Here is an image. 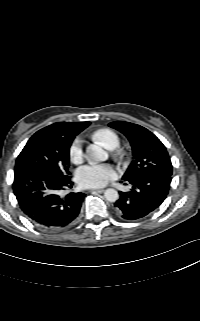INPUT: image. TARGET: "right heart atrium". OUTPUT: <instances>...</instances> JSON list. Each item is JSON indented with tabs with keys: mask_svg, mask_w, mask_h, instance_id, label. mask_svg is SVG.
Listing matches in <instances>:
<instances>
[{
	"mask_svg": "<svg viewBox=\"0 0 200 321\" xmlns=\"http://www.w3.org/2000/svg\"><path fill=\"white\" fill-rule=\"evenodd\" d=\"M69 157L73 163H80L83 160V146L80 139H75L69 146Z\"/></svg>",
	"mask_w": 200,
	"mask_h": 321,
	"instance_id": "1",
	"label": "right heart atrium"
}]
</instances>
